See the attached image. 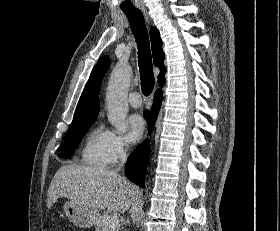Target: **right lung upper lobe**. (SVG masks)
I'll return each instance as SVG.
<instances>
[{
	"mask_svg": "<svg viewBox=\"0 0 280 231\" xmlns=\"http://www.w3.org/2000/svg\"><path fill=\"white\" fill-rule=\"evenodd\" d=\"M150 38L152 44V53L154 65L159 67L160 74L158 81L160 86L165 83L166 67L164 65L165 55L162 51V41L159 31L155 27H151ZM110 64L108 56L101 57L92 70L90 78L84 88V91L78 102L76 112L70 127L80 125L85 122L95 121L99 113L98 94L101 81Z\"/></svg>",
	"mask_w": 280,
	"mask_h": 231,
	"instance_id": "1",
	"label": "right lung upper lobe"
}]
</instances>
